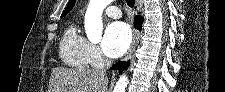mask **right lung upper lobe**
Instances as JSON below:
<instances>
[{
    "label": "right lung upper lobe",
    "instance_id": "right-lung-upper-lobe-1",
    "mask_svg": "<svg viewBox=\"0 0 225 92\" xmlns=\"http://www.w3.org/2000/svg\"><path fill=\"white\" fill-rule=\"evenodd\" d=\"M74 4L75 0H69V3L62 14V17L65 16L67 13H69V11L73 8Z\"/></svg>",
    "mask_w": 225,
    "mask_h": 92
}]
</instances>
